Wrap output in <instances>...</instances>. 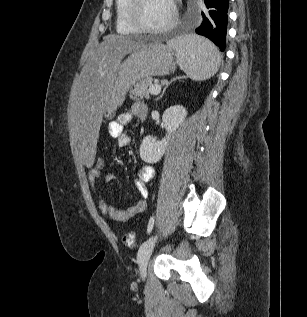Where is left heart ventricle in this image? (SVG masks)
<instances>
[{"label": "left heart ventricle", "instance_id": "left-heart-ventricle-1", "mask_svg": "<svg viewBox=\"0 0 307 317\" xmlns=\"http://www.w3.org/2000/svg\"><path fill=\"white\" fill-rule=\"evenodd\" d=\"M172 16L170 0H144L141 17L143 22L153 28L165 25Z\"/></svg>", "mask_w": 307, "mask_h": 317}]
</instances>
